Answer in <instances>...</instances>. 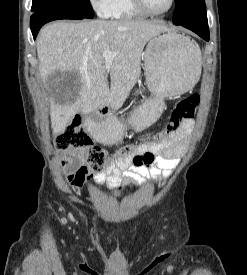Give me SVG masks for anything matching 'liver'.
Wrapping results in <instances>:
<instances>
[{
	"mask_svg": "<svg viewBox=\"0 0 247 275\" xmlns=\"http://www.w3.org/2000/svg\"><path fill=\"white\" fill-rule=\"evenodd\" d=\"M165 31L168 28L158 22L132 19L58 21L45 26L37 40L41 79L45 82L55 71H73L80 82L65 102L52 97L53 133H62L78 112L88 115L109 105L113 110L121 108L140 76L145 44ZM105 50L116 53L109 70L102 57Z\"/></svg>",
	"mask_w": 247,
	"mask_h": 275,
	"instance_id": "liver-1",
	"label": "liver"
}]
</instances>
